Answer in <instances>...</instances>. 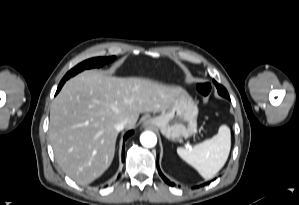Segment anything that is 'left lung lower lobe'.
<instances>
[{"instance_id":"0a47b994","label":"left lung lower lobe","mask_w":299,"mask_h":205,"mask_svg":"<svg viewBox=\"0 0 299 205\" xmlns=\"http://www.w3.org/2000/svg\"><path fill=\"white\" fill-rule=\"evenodd\" d=\"M225 98L230 99L229 96H227V97H225ZM157 168H158L159 174H160V176L163 178V180H164L167 184H169L170 186H174V183L170 182V181H169V180L162 174V172L160 171V169H159V164H158V160H157Z\"/></svg>"}]
</instances>
